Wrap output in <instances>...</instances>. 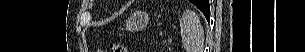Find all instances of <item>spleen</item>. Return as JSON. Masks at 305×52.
<instances>
[{"mask_svg":"<svg viewBox=\"0 0 305 52\" xmlns=\"http://www.w3.org/2000/svg\"><path fill=\"white\" fill-rule=\"evenodd\" d=\"M183 47L187 52H203L204 29L199 17L192 11H185L180 19Z\"/></svg>","mask_w":305,"mask_h":52,"instance_id":"obj_1","label":"spleen"}]
</instances>
